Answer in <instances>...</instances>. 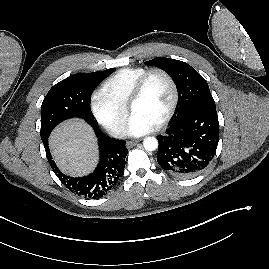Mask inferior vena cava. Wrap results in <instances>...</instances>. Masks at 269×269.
I'll list each match as a JSON object with an SVG mask.
<instances>
[{"label": "inferior vena cava", "instance_id": "inferior-vena-cava-1", "mask_svg": "<svg viewBox=\"0 0 269 269\" xmlns=\"http://www.w3.org/2000/svg\"><path fill=\"white\" fill-rule=\"evenodd\" d=\"M112 135L115 138L125 139L127 137V131L123 127H119L113 130Z\"/></svg>", "mask_w": 269, "mask_h": 269}]
</instances>
